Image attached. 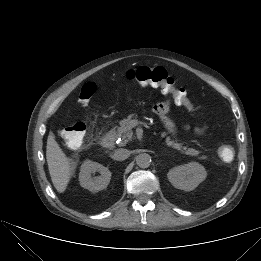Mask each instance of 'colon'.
I'll use <instances>...</instances> for the list:
<instances>
[{"mask_svg": "<svg viewBox=\"0 0 261 261\" xmlns=\"http://www.w3.org/2000/svg\"><path fill=\"white\" fill-rule=\"evenodd\" d=\"M126 77L144 85H154L162 89L163 92L171 94L179 105H184L191 111H196V107L187 97V93L183 88L175 85L174 79L161 66L147 67L141 66L129 69ZM96 92V84L88 82L84 84L80 90L78 100L81 105L86 106L91 101ZM86 125L83 122H76L61 130V136L68 146L71 148H79L85 138ZM218 155L221 160L230 162L234 159V148L229 144H223L218 148Z\"/></svg>", "mask_w": 261, "mask_h": 261, "instance_id": "colon-1", "label": "colon"}]
</instances>
